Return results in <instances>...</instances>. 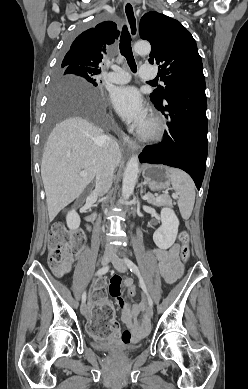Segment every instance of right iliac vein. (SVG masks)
Segmentation results:
<instances>
[{
	"instance_id": "63e3f726",
	"label": "right iliac vein",
	"mask_w": 248,
	"mask_h": 389,
	"mask_svg": "<svg viewBox=\"0 0 248 389\" xmlns=\"http://www.w3.org/2000/svg\"><path fill=\"white\" fill-rule=\"evenodd\" d=\"M111 259H112V256H111L110 254H104V255L102 256V259H101L102 265H107V264L110 262ZM80 311H81V313H82L84 316L87 315L88 309H87V306H86L85 303H82V304H81Z\"/></svg>"
}]
</instances>
